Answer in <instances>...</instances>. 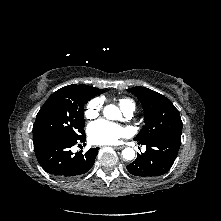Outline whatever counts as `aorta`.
Segmentation results:
<instances>
[{
  "label": "aorta",
  "mask_w": 221,
  "mask_h": 221,
  "mask_svg": "<svg viewBox=\"0 0 221 221\" xmlns=\"http://www.w3.org/2000/svg\"><path fill=\"white\" fill-rule=\"evenodd\" d=\"M111 111L117 112V108L114 105H108L104 108V116L109 117ZM122 156L126 160H132L135 157V151L133 148L127 147L122 151Z\"/></svg>",
  "instance_id": "aorta-1"
}]
</instances>
